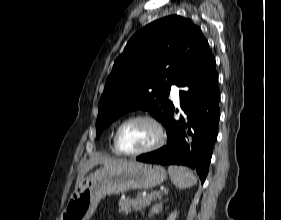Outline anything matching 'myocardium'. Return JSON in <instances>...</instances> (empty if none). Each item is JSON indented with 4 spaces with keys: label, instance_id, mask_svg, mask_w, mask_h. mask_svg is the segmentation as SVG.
Here are the masks:
<instances>
[{
    "label": "myocardium",
    "instance_id": "myocardium-1",
    "mask_svg": "<svg viewBox=\"0 0 281 220\" xmlns=\"http://www.w3.org/2000/svg\"><path fill=\"white\" fill-rule=\"evenodd\" d=\"M138 120H145V121L151 122L157 129V139L152 145H150L144 149L134 151V152L125 151L120 147V143H119L120 133L126 125H128L131 122L138 121ZM165 141H166V134H165V131H164V128H163L161 122L157 118H155L151 115H147V114H138V115H134V116L126 119L118 126V128L115 132V135H114V147L119 154L124 155V156H139V155L153 152V151L159 149L160 147H162L164 145Z\"/></svg>",
    "mask_w": 281,
    "mask_h": 220
}]
</instances>
